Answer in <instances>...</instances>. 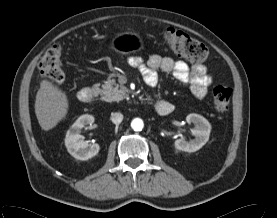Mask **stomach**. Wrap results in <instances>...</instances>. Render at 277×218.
I'll list each match as a JSON object with an SVG mask.
<instances>
[{
  "mask_svg": "<svg viewBox=\"0 0 277 218\" xmlns=\"http://www.w3.org/2000/svg\"><path fill=\"white\" fill-rule=\"evenodd\" d=\"M143 41L136 32H125L117 35L112 41V48L119 53L127 54L141 49Z\"/></svg>",
  "mask_w": 277,
  "mask_h": 218,
  "instance_id": "1",
  "label": "stomach"
}]
</instances>
